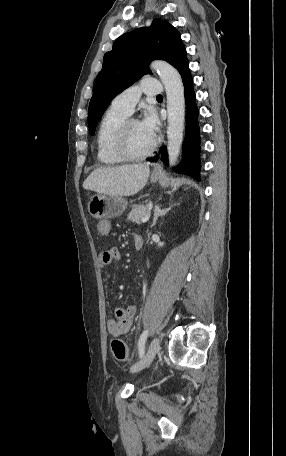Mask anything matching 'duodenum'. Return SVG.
<instances>
[{"label": "duodenum", "mask_w": 286, "mask_h": 456, "mask_svg": "<svg viewBox=\"0 0 286 456\" xmlns=\"http://www.w3.org/2000/svg\"><path fill=\"white\" fill-rule=\"evenodd\" d=\"M143 246V237L141 235H137L134 237V247L136 250H140Z\"/></svg>", "instance_id": "obj_1"}]
</instances>
